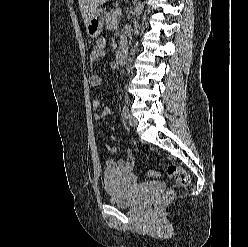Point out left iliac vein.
<instances>
[{
    "instance_id": "obj_1",
    "label": "left iliac vein",
    "mask_w": 248,
    "mask_h": 247,
    "mask_svg": "<svg viewBox=\"0 0 248 247\" xmlns=\"http://www.w3.org/2000/svg\"><path fill=\"white\" fill-rule=\"evenodd\" d=\"M128 123L131 127H136L137 126V120L134 116H132L130 113H129V116H128Z\"/></svg>"
}]
</instances>
